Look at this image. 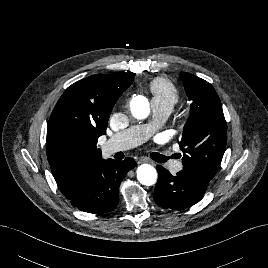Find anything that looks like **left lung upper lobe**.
<instances>
[{
	"instance_id": "obj_1",
	"label": "left lung upper lobe",
	"mask_w": 268,
	"mask_h": 268,
	"mask_svg": "<svg viewBox=\"0 0 268 268\" xmlns=\"http://www.w3.org/2000/svg\"><path fill=\"white\" fill-rule=\"evenodd\" d=\"M189 100L190 117L179 142L183 172L208 185L226 148V121L219 97L210 83L187 72L180 74Z\"/></svg>"
}]
</instances>
